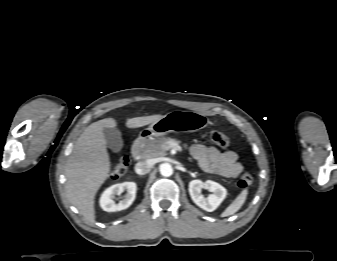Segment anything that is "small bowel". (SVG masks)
I'll use <instances>...</instances> for the list:
<instances>
[{
    "mask_svg": "<svg viewBox=\"0 0 337 261\" xmlns=\"http://www.w3.org/2000/svg\"><path fill=\"white\" fill-rule=\"evenodd\" d=\"M190 152L192 157L198 161L201 169L208 174L236 178L243 171V166L234 151L221 152L214 146L194 144Z\"/></svg>",
    "mask_w": 337,
    "mask_h": 261,
    "instance_id": "obj_1",
    "label": "small bowel"
}]
</instances>
